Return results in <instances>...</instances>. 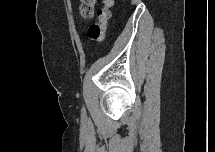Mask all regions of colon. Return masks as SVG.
<instances>
[{"mask_svg":"<svg viewBox=\"0 0 215 152\" xmlns=\"http://www.w3.org/2000/svg\"><path fill=\"white\" fill-rule=\"evenodd\" d=\"M94 0H82L79 5L80 15L83 19L88 20L94 13ZM113 5L112 0H102L101 7L97 15L98 21L88 29V38L93 42H102L105 38L107 23L110 19V9Z\"/></svg>","mask_w":215,"mask_h":152,"instance_id":"1","label":"colon"}]
</instances>
